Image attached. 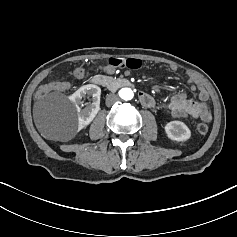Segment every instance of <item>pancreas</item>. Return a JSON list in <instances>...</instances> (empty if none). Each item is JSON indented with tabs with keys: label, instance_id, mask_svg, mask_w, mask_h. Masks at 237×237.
Here are the masks:
<instances>
[{
	"label": "pancreas",
	"instance_id": "cf45deb5",
	"mask_svg": "<svg viewBox=\"0 0 237 237\" xmlns=\"http://www.w3.org/2000/svg\"><path fill=\"white\" fill-rule=\"evenodd\" d=\"M118 82H119V80H112V81L109 83V86H111V87H113V88H118V87H119Z\"/></svg>",
	"mask_w": 237,
	"mask_h": 237
}]
</instances>
